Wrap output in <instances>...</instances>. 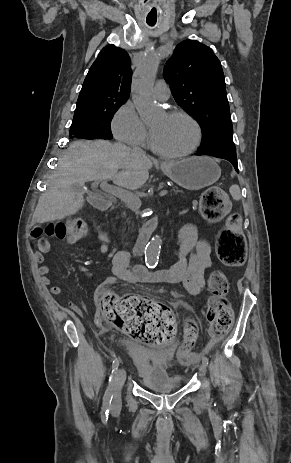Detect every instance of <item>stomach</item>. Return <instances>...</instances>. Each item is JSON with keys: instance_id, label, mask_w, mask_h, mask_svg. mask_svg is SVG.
<instances>
[{"instance_id": "0dacf381", "label": "stomach", "mask_w": 291, "mask_h": 463, "mask_svg": "<svg viewBox=\"0 0 291 463\" xmlns=\"http://www.w3.org/2000/svg\"><path fill=\"white\" fill-rule=\"evenodd\" d=\"M162 171L175 183L188 190H200L214 184L221 175L218 164L207 156L167 162Z\"/></svg>"}]
</instances>
